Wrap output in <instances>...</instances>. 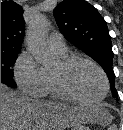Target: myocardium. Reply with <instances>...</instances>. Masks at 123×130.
I'll return each instance as SVG.
<instances>
[{
    "mask_svg": "<svg viewBox=\"0 0 123 130\" xmlns=\"http://www.w3.org/2000/svg\"><path fill=\"white\" fill-rule=\"evenodd\" d=\"M78 62H85L95 67L101 74L104 81V92L97 99H85L77 96L70 88L67 80V74L69 70ZM52 76L56 88L60 94L67 100L82 104H96L101 102L108 94L110 89L109 80L104 69L94 60L82 56V55H68L65 58H61L58 62V68L52 71Z\"/></svg>",
    "mask_w": 123,
    "mask_h": 130,
    "instance_id": "myocardium-1",
    "label": "myocardium"
}]
</instances>
